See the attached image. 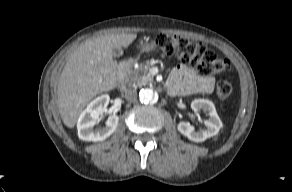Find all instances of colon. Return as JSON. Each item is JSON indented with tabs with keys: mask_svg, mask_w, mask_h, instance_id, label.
<instances>
[{
	"mask_svg": "<svg viewBox=\"0 0 292 192\" xmlns=\"http://www.w3.org/2000/svg\"><path fill=\"white\" fill-rule=\"evenodd\" d=\"M153 46L167 56H172L184 65L195 68L199 75L210 76L230 69L227 59L204 44L178 35L158 34L153 39ZM232 84L224 77L215 83V95L218 100L228 99L232 93Z\"/></svg>",
	"mask_w": 292,
	"mask_h": 192,
	"instance_id": "5ec220e1",
	"label": "colon"
}]
</instances>
